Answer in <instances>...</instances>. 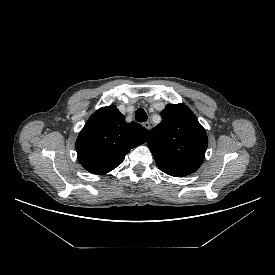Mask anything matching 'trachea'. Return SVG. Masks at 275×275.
Masks as SVG:
<instances>
[{
    "label": "trachea",
    "instance_id": "1",
    "mask_svg": "<svg viewBox=\"0 0 275 275\" xmlns=\"http://www.w3.org/2000/svg\"><path fill=\"white\" fill-rule=\"evenodd\" d=\"M135 120L137 122H145L147 120V113L144 109L139 108L135 112Z\"/></svg>",
    "mask_w": 275,
    "mask_h": 275
}]
</instances>
